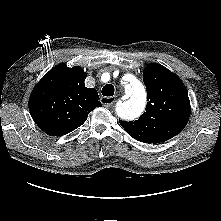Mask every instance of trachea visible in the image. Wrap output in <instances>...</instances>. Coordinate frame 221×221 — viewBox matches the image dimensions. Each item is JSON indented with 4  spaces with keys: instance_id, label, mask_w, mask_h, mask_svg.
I'll return each mask as SVG.
<instances>
[{
    "instance_id": "1",
    "label": "trachea",
    "mask_w": 221,
    "mask_h": 221,
    "mask_svg": "<svg viewBox=\"0 0 221 221\" xmlns=\"http://www.w3.org/2000/svg\"><path fill=\"white\" fill-rule=\"evenodd\" d=\"M114 94V86L112 84H107L102 88L103 96H112Z\"/></svg>"
}]
</instances>
